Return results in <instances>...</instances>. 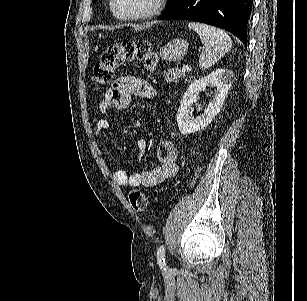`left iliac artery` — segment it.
<instances>
[{
    "label": "left iliac artery",
    "mask_w": 307,
    "mask_h": 301,
    "mask_svg": "<svg viewBox=\"0 0 307 301\" xmlns=\"http://www.w3.org/2000/svg\"><path fill=\"white\" fill-rule=\"evenodd\" d=\"M164 253H165V247L164 245H161L157 251V261H158L160 268H164L165 266Z\"/></svg>",
    "instance_id": "44dca946"
}]
</instances>
